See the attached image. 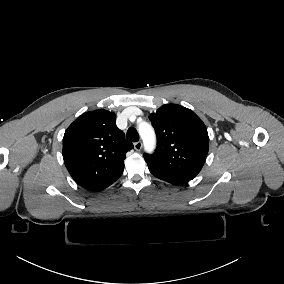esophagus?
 Wrapping results in <instances>:
<instances>
[{
  "label": "esophagus",
  "instance_id": "34e87169",
  "mask_svg": "<svg viewBox=\"0 0 284 284\" xmlns=\"http://www.w3.org/2000/svg\"><path fill=\"white\" fill-rule=\"evenodd\" d=\"M142 146H143V144H142L141 141L134 143V148H135L136 151H140L142 149Z\"/></svg>",
  "mask_w": 284,
  "mask_h": 284
}]
</instances>
